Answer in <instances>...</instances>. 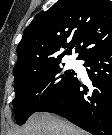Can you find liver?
I'll return each instance as SVG.
<instances>
[{
    "label": "liver",
    "mask_w": 112,
    "mask_h": 135,
    "mask_svg": "<svg viewBox=\"0 0 112 135\" xmlns=\"http://www.w3.org/2000/svg\"><path fill=\"white\" fill-rule=\"evenodd\" d=\"M17 135H88L70 122L49 113L33 114Z\"/></svg>",
    "instance_id": "liver-1"
}]
</instances>
